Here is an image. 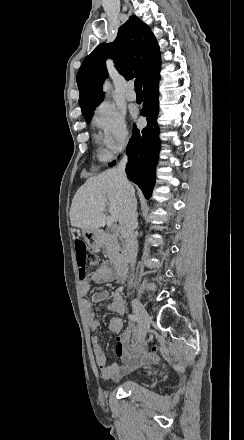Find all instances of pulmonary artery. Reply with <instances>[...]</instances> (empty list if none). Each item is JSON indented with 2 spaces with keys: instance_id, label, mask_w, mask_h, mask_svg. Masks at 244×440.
Instances as JSON below:
<instances>
[{
  "instance_id": "obj_1",
  "label": "pulmonary artery",
  "mask_w": 244,
  "mask_h": 440,
  "mask_svg": "<svg viewBox=\"0 0 244 440\" xmlns=\"http://www.w3.org/2000/svg\"><path fill=\"white\" fill-rule=\"evenodd\" d=\"M125 97L129 101H134L136 99V95L133 92L126 93Z\"/></svg>"
}]
</instances>
